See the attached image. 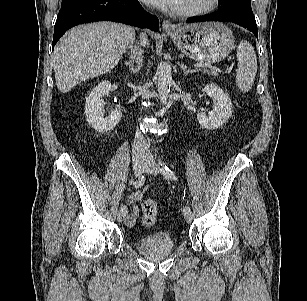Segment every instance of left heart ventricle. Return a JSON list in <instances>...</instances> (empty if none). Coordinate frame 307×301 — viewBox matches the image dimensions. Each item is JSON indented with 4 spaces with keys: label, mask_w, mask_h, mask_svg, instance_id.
Here are the masks:
<instances>
[{
    "label": "left heart ventricle",
    "mask_w": 307,
    "mask_h": 301,
    "mask_svg": "<svg viewBox=\"0 0 307 301\" xmlns=\"http://www.w3.org/2000/svg\"><path fill=\"white\" fill-rule=\"evenodd\" d=\"M204 0H180L177 9L191 8L200 5Z\"/></svg>",
    "instance_id": "1"
}]
</instances>
